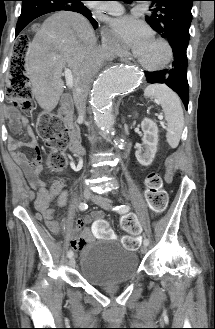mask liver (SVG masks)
<instances>
[{
    "label": "liver",
    "instance_id": "liver-1",
    "mask_svg": "<svg viewBox=\"0 0 215 329\" xmlns=\"http://www.w3.org/2000/svg\"><path fill=\"white\" fill-rule=\"evenodd\" d=\"M96 48L92 26L78 13L61 11L43 22L25 58L32 93L43 110L52 111L58 104L64 88L63 69L72 71L75 85L86 57Z\"/></svg>",
    "mask_w": 215,
    "mask_h": 329
}]
</instances>
